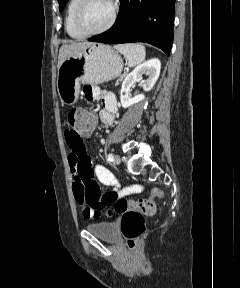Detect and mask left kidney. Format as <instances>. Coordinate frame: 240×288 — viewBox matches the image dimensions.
Wrapping results in <instances>:
<instances>
[{
  "label": "left kidney",
  "mask_w": 240,
  "mask_h": 288,
  "mask_svg": "<svg viewBox=\"0 0 240 288\" xmlns=\"http://www.w3.org/2000/svg\"><path fill=\"white\" fill-rule=\"evenodd\" d=\"M160 69V60L153 58L138 65L131 73L126 76L120 91V101L123 108H128L131 105L145 99V95L142 93L132 97L130 93L131 87L136 82H140L145 92L150 91L159 77ZM143 75H146L147 79L143 80Z\"/></svg>",
  "instance_id": "obj_1"
}]
</instances>
